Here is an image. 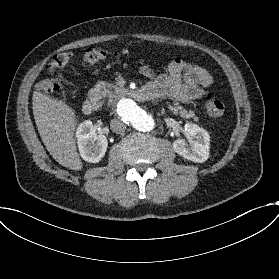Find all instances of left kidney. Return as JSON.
Returning a JSON list of instances; mask_svg holds the SVG:
<instances>
[{
  "mask_svg": "<svg viewBox=\"0 0 279 279\" xmlns=\"http://www.w3.org/2000/svg\"><path fill=\"white\" fill-rule=\"evenodd\" d=\"M185 133L189 137V145L182 139L172 143L173 150L194 163H204L209 157L210 136L207 131L193 124H188Z\"/></svg>",
  "mask_w": 279,
  "mask_h": 279,
  "instance_id": "obj_1",
  "label": "left kidney"
}]
</instances>
